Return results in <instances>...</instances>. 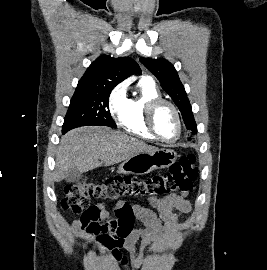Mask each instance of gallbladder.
<instances>
[{
    "mask_svg": "<svg viewBox=\"0 0 267 270\" xmlns=\"http://www.w3.org/2000/svg\"><path fill=\"white\" fill-rule=\"evenodd\" d=\"M82 178V173L78 172L75 169L69 170L66 174L65 180L70 183H76Z\"/></svg>",
    "mask_w": 267,
    "mask_h": 270,
    "instance_id": "gallbladder-1",
    "label": "gallbladder"
}]
</instances>
